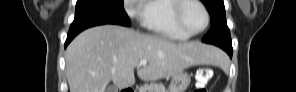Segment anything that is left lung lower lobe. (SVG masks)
<instances>
[{"label": "left lung lower lobe", "instance_id": "1", "mask_svg": "<svg viewBox=\"0 0 296 92\" xmlns=\"http://www.w3.org/2000/svg\"><path fill=\"white\" fill-rule=\"evenodd\" d=\"M221 48L224 49L229 54L230 57H232V53H233L232 46H230V47L223 46Z\"/></svg>", "mask_w": 296, "mask_h": 92}]
</instances>
